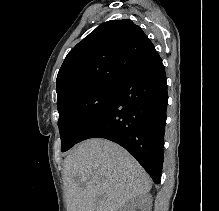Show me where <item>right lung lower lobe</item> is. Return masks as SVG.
Listing matches in <instances>:
<instances>
[{
    "label": "right lung lower lobe",
    "instance_id": "right-lung-lower-lobe-1",
    "mask_svg": "<svg viewBox=\"0 0 219 211\" xmlns=\"http://www.w3.org/2000/svg\"><path fill=\"white\" fill-rule=\"evenodd\" d=\"M168 103L160 57L126 76L98 116L79 136L111 140L131 153L153 182L160 183Z\"/></svg>",
    "mask_w": 219,
    "mask_h": 211
}]
</instances>
